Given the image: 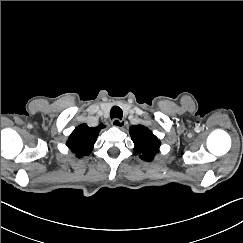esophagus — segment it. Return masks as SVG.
<instances>
[{
    "instance_id": "1",
    "label": "esophagus",
    "mask_w": 243,
    "mask_h": 243,
    "mask_svg": "<svg viewBox=\"0 0 243 243\" xmlns=\"http://www.w3.org/2000/svg\"><path fill=\"white\" fill-rule=\"evenodd\" d=\"M112 125L117 128H123L125 126V121L115 118L112 120Z\"/></svg>"
}]
</instances>
